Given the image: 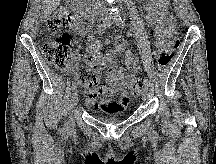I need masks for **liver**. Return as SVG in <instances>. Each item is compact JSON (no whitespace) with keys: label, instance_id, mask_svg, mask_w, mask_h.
I'll return each mask as SVG.
<instances>
[{"label":"liver","instance_id":"6515ba94","mask_svg":"<svg viewBox=\"0 0 216 164\" xmlns=\"http://www.w3.org/2000/svg\"><path fill=\"white\" fill-rule=\"evenodd\" d=\"M60 2L61 0H43L45 16H49L52 11H54L58 7Z\"/></svg>","mask_w":216,"mask_h":164}]
</instances>
